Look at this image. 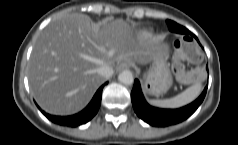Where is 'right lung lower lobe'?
I'll return each mask as SVG.
<instances>
[{"label": "right lung lower lobe", "mask_w": 238, "mask_h": 145, "mask_svg": "<svg viewBox=\"0 0 238 145\" xmlns=\"http://www.w3.org/2000/svg\"><path fill=\"white\" fill-rule=\"evenodd\" d=\"M107 82L104 84L106 85ZM102 85L97 92L95 93L93 99L88 104V106L82 110L81 112L72 115V116H54L49 115L41 110V112L53 123L59 124L61 126H68V127H77L82 124L87 123L90 121L98 112L100 104H101V97H102V89L104 87Z\"/></svg>", "instance_id": "obj_1"}]
</instances>
